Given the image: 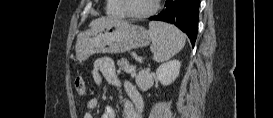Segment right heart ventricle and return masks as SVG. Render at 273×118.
<instances>
[{"label":"right heart ventricle","mask_w":273,"mask_h":118,"mask_svg":"<svg viewBox=\"0 0 273 118\" xmlns=\"http://www.w3.org/2000/svg\"><path fill=\"white\" fill-rule=\"evenodd\" d=\"M105 11L110 16L123 17L125 12L121 6L120 0H107Z\"/></svg>","instance_id":"1"}]
</instances>
